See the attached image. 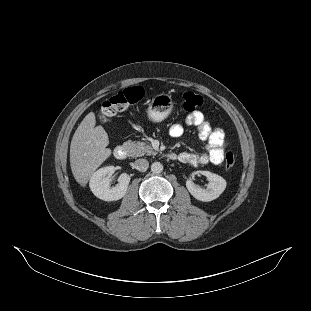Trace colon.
Returning a JSON list of instances; mask_svg holds the SVG:
<instances>
[{"label":"colon","instance_id":"colon-1","mask_svg":"<svg viewBox=\"0 0 311 311\" xmlns=\"http://www.w3.org/2000/svg\"><path fill=\"white\" fill-rule=\"evenodd\" d=\"M142 90L138 87L127 88L104 102L101 110V118L106 120L128 110L136 105L142 98ZM203 103V99L197 93L187 90L181 96V107L185 112H193ZM236 158L232 152H227L224 158L226 169L235 165Z\"/></svg>","mask_w":311,"mask_h":311}]
</instances>
